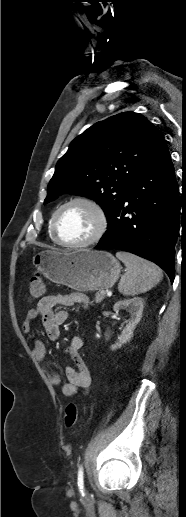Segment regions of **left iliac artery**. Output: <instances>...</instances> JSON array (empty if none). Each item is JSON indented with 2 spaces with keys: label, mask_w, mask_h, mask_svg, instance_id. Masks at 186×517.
Returning <instances> with one entry per match:
<instances>
[{
  "label": "left iliac artery",
  "mask_w": 186,
  "mask_h": 517,
  "mask_svg": "<svg viewBox=\"0 0 186 517\" xmlns=\"http://www.w3.org/2000/svg\"><path fill=\"white\" fill-rule=\"evenodd\" d=\"M77 484H78V487H79L80 491L83 493V489H84V472H83V467L82 466H80L79 470H78Z\"/></svg>",
  "instance_id": "44dca946"
}]
</instances>
